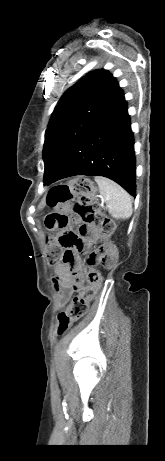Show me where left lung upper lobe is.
<instances>
[{"label":"left lung upper lobe","instance_id":"1","mask_svg":"<svg viewBox=\"0 0 165 461\" xmlns=\"http://www.w3.org/2000/svg\"><path fill=\"white\" fill-rule=\"evenodd\" d=\"M120 91L112 74L100 69L88 73L63 94L45 133V184L55 177Z\"/></svg>","mask_w":165,"mask_h":461}]
</instances>
